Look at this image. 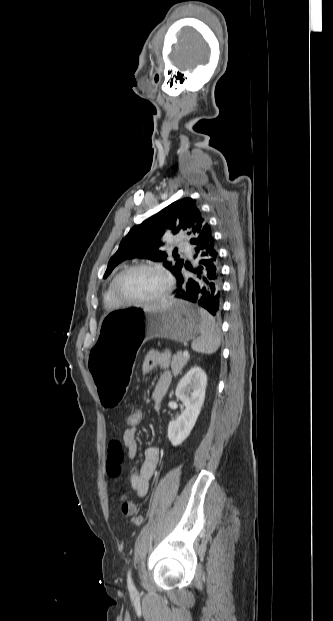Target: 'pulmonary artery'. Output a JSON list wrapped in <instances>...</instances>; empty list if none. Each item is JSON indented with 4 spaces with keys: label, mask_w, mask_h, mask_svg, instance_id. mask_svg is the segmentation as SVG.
<instances>
[{
    "label": "pulmonary artery",
    "mask_w": 333,
    "mask_h": 621,
    "mask_svg": "<svg viewBox=\"0 0 333 621\" xmlns=\"http://www.w3.org/2000/svg\"><path fill=\"white\" fill-rule=\"evenodd\" d=\"M177 246L180 250H183L186 248V244L183 241H179Z\"/></svg>",
    "instance_id": "pulmonary-artery-1"
}]
</instances>
